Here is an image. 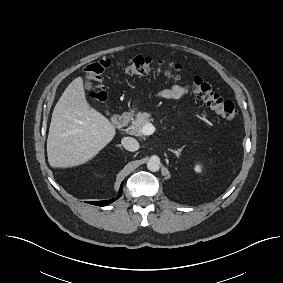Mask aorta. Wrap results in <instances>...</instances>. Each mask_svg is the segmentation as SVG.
<instances>
[{"label":"aorta","mask_w":283,"mask_h":283,"mask_svg":"<svg viewBox=\"0 0 283 283\" xmlns=\"http://www.w3.org/2000/svg\"><path fill=\"white\" fill-rule=\"evenodd\" d=\"M147 168L152 171L156 172L160 169V159L158 156H152L148 163H147Z\"/></svg>","instance_id":"762f6f07"}]
</instances>
